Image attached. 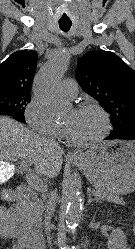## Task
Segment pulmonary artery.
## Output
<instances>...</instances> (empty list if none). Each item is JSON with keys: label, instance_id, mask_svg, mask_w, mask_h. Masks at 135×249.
<instances>
[{"label": "pulmonary artery", "instance_id": "1", "mask_svg": "<svg viewBox=\"0 0 135 249\" xmlns=\"http://www.w3.org/2000/svg\"><path fill=\"white\" fill-rule=\"evenodd\" d=\"M60 91L63 96L73 99L78 94V85L73 78H66L60 85Z\"/></svg>", "mask_w": 135, "mask_h": 249}]
</instances>
